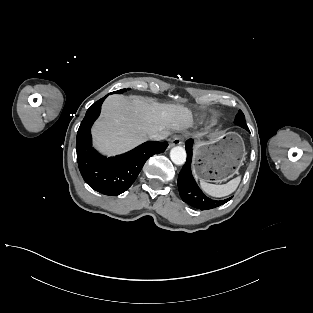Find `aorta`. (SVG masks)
Masks as SVG:
<instances>
[{
    "instance_id": "aorta-1",
    "label": "aorta",
    "mask_w": 313,
    "mask_h": 313,
    "mask_svg": "<svg viewBox=\"0 0 313 313\" xmlns=\"http://www.w3.org/2000/svg\"><path fill=\"white\" fill-rule=\"evenodd\" d=\"M170 158L176 165H183L186 162V151L181 146L173 147L170 151Z\"/></svg>"
}]
</instances>
